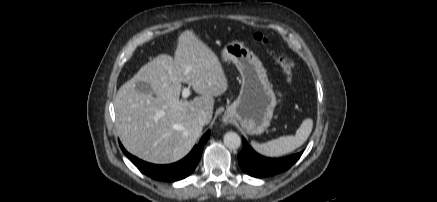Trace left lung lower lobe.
Listing matches in <instances>:
<instances>
[{"label":"left lung lower lobe","mask_w":437,"mask_h":202,"mask_svg":"<svg viewBox=\"0 0 437 202\" xmlns=\"http://www.w3.org/2000/svg\"><path fill=\"white\" fill-rule=\"evenodd\" d=\"M243 148L238 154L241 169L248 175L262 178L288 170L302 155L303 151L283 158H267L256 153L242 138Z\"/></svg>","instance_id":"obj_1"}]
</instances>
